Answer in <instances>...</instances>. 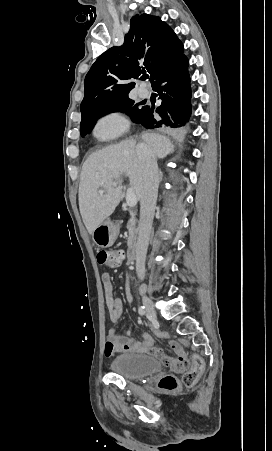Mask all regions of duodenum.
<instances>
[{"instance_id":"duodenum-1","label":"duodenum","mask_w":272,"mask_h":451,"mask_svg":"<svg viewBox=\"0 0 272 451\" xmlns=\"http://www.w3.org/2000/svg\"><path fill=\"white\" fill-rule=\"evenodd\" d=\"M136 256H137V248L136 246L132 245L127 250V257L129 260L133 261L135 260Z\"/></svg>"}]
</instances>
